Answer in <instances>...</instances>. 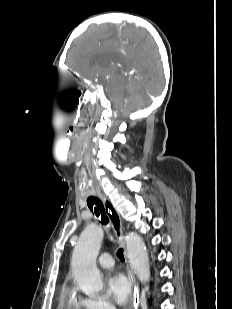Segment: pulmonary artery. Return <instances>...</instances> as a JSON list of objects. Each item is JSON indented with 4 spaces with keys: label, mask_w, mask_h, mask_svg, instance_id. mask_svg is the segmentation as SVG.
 Listing matches in <instances>:
<instances>
[{
    "label": "pulmonary artery",
    "mask_w": 232,
    "mask_h": 309,
    "mask_svg": "<svg viewBox=\"0 0 232 309\" xmlns=\"http://www.w3.org/2000/svg\"><path fill=\"white\" fill-rule=\"evenodd\" d=\"M98 264L103 269L111 268L114 265L112 256L109 253H104L98 260Z\"/></svg>",
    "instance_id": "1"
}]
</instances>
